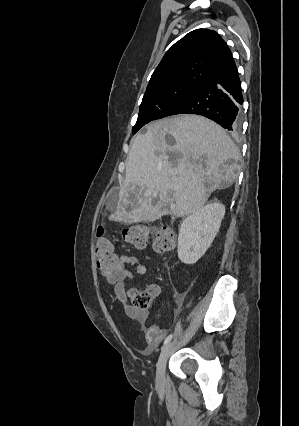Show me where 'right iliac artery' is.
<instances>
[{
  "label": "right iliac artery",
  "instance_id": "82829eb1",
  "mask_svg": "<svg viewBox=\"0 0 299 426\" xmlns=\"http://www.w3.org/2000/svg\"><path fill=\"white\" fill-rule=\"evenodd\" d=\"M172 337H173V334H170L169 336H167L164 340L163 345H166L172 339Z\"/></svg>",
  "mask_w": 299,
  "mask_h": 426
}]
</instances>
